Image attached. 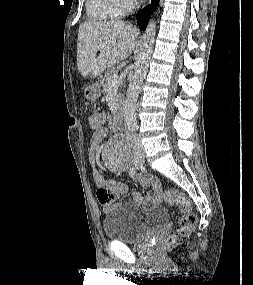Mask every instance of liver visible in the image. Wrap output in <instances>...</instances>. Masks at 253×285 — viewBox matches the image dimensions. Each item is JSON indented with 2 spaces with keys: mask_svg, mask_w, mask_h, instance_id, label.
<instances>
[{
  "mask_svg": "<svg viewBox=\"0 0 253 285\" xmlns=\"http://www.w3.org/2000/svg\"><path fill=\"white\" fill-rule=\"evenodd\" d=\"M136 37V29L124 21L82 23L77 41L79 72L84 78H94L118 61L127 59L135 48ZM102 45L106 48L98 50Z\"/></svg>",
  "mask_w": 253,
  "mask_h": 285,
  "instance_id": "liver-1",
  "label": "liver"
}]
</instances>
